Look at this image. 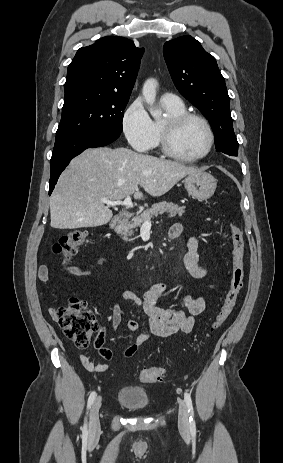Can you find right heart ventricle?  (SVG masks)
Segmentation results:
<instances>
[{"instance_id": "e07e8e85", "label": "right heart ventricle", "mask_w": 283, "mask_h": 463, "mask_svg": "<svg viewBox=\"0 0 283 463\" xmlns=\"http://www.w3.org/2000/svg\"><path fill=\"white\" fill-rule=\"evenodd\" d=\"M161 103H162V106L163 108L165 109L166 113H167V117L168 116H173V115H178V114H181V113H184L186 110H185V105L182 101H179V103H176V104H170V103H167V102H164L161 100ZM154 122V126H155V130H156V138H155V142H154V145L153 146H157L160 144V134H161V124H162V121L160 120H156V121H153Z\"/></svg>"}]
</instances>
